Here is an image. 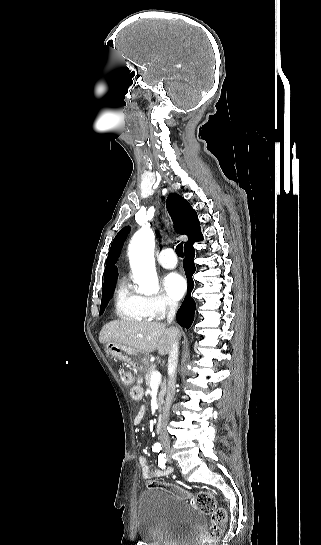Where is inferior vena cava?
<instances>
[{
    "label": "inferior vena cava",
    "mask_w": 321,
    "mask_h": 545,
    "mask_svg": "<svg viewBox=\"0 0 321 545\" xmlns=\"http://www.w3.org/2000/svg\"><path fill=\"white\" fill-rule=\"evenodd\" d=\"M167 305V323H172L174 321L176 309L178 307L177 301H172V299H168L166 301ZM178 355H179V347L178 343H174L170 353H169V359H168V371H169V379H168V387H167V395H166V401H165V407L163 411V415L161 417V425H160V441L162 443V449L163 450H170V444L169 441V435L167 433V425L169 421V415H170V407L173 403V399L175 397V389H176V371H177V365H178Z\"/></svg>",
    "instance_id": "1"
}]
</instances>
